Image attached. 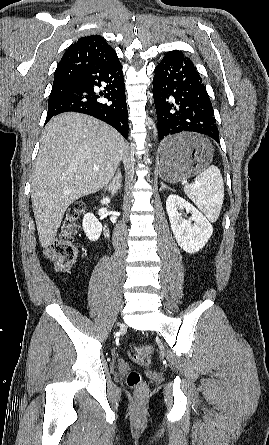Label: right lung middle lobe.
<instances>
[{"mask_svg":"<svg viewBox=\"0 0 269 445\" xmlns=\"http://www.w3.org/2000/svg\"><path fill=\"white\" fill-rule=\"evenodd\" d=\"M68 91V88L66 86L61 87H53L52 91L49 96L48 104H51L58 99L64 97Z\"/></svg>","mask_w":269,"mask_h":445,"instance_id":"1","label":"right lung middle lobe"}]
</instances>
